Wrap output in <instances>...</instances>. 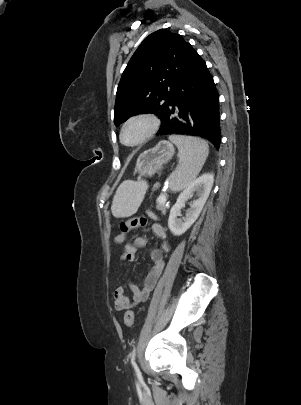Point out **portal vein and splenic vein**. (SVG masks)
<instances>
[{
    "instance_id": "1",
    "label": "portal vein and splenic vein",
    "mask_w": 301,
    "mask_h": 405,
    "mask_svg": "<svg viewBox=\"0 0 301 405\" xmlns=\"http://www.w3.org/2000/svg\"><path fill=\"white\" fill-rule=\"evenodd\" d=\"M157 201L165 203L166 202V197L164 195H161L158 197Z\"/></svg>"
}]
</instances>
